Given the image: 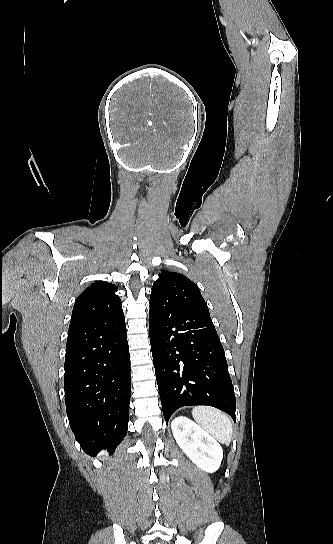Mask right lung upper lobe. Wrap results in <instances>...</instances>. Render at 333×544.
Returning <instances> with one entry per match:
<instances>
[{"mask_svg": "<svg viewBox=\"0 0 333 544\" xmlns=\"http://www.w3.org/2000/svg\"><path fill=\"white\" fill-rule=\"evenodd\" d=\"M116 291V285L105 281H98L86 288L76 299L69 331L114 318L122 313V302L115 294Z\"/></svg>", "mask_w": 333, "mask_h": 544, "instance_id": "right-lung-upper-lobe-1", "label": "right lung upper lobe"}]
</instances>
